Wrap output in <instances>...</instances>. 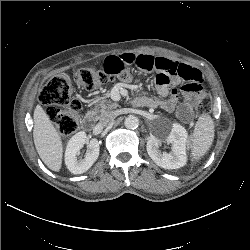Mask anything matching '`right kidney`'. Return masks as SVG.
<instances>
[{"instance_id":"ca27d5eb","label":"right kidney","mask_w":250,"mask_h":250,"mask_svg":"<svg viewBox=\"0 0 250 250\" xmlns=\"http://www.w3.org/2000/svg\"><path fill=\"white\" fill-rule=\"evenodd\" d=\"M87 143L86 133L81 131L75 134L68 142L65 151V164L73 174L86 172L97 160L99 156L98 140L93 138L88 142V150L83 159H78L80 149Z\"/></svg>"}]
</instances>
